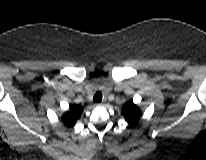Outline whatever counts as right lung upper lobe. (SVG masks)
I'll return each instance as SVG.
<instances>
[{"mask_svg": "<svg viewBox=\"0 0 206 160\" xmlns=\"http://www.w3.org/2000/svg\"><path fill=\"white\" fill-rule=\"evenodd\" d=\"M82 112L81 106L71 105L69 111L62 116L63 123L69 127L74 126L76 121L80 119Z\"/></svg>", "mask_w": 206, "mask_h": 160, "instance_id": "cb5924a9", "label": "right lung upper lobe"}]
</instances>
